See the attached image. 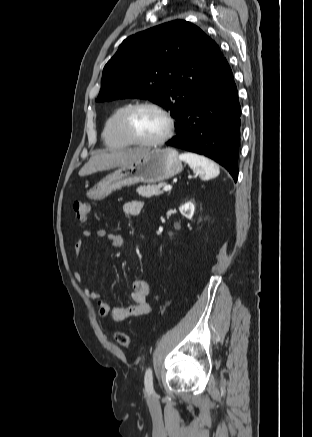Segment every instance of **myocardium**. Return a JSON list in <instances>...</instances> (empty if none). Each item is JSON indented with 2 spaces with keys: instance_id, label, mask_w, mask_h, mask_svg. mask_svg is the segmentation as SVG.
I'll return each mask as SVG.
<instances>
[{
  "instance_id": "f54148a6",
  "label": "myocardium",
  "mask_w": 312,
  "mask_h": 437,
  "mask_svg": "<svg viewBox=\"0 0 312 437\" xmlns=\"http://www.w3.org/2000/svg\"><path fill=\"white\" fill-rule=\"evenodd\" d=\"M149 108L157 113H159L166 122V130L162 136L154 140H141L139 139L132 129V119L137 111L140 109ZM120 128L126 139L134 145L143 147H154L159 146L167 142L173 135L174 132V120L172 116L166 111L162 106L154 102H139L128 107L123 113L120 120Z\"/></svg>"
}]
</instances>
